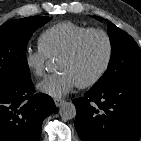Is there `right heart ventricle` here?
I'll return each instance as SVG.
<instances>
[{
  "instance_id": "right-heart-ventricle-1",
  "label": "right heart ventricle",
  "mask_w": 141,
  "mask_h": 141,
  "mask_svg": "<svg viewBox=\"0 0 141 141\" xmlns=\"http://www.w3.org/2000/svg\"><path fill=\"white\" fill-rule=\"evenodd\" d=\"M89 27L63 21L48 27L39 37V45L49 57H59Z\"/></svg>"
}]
</instances>
